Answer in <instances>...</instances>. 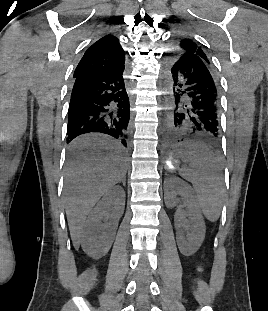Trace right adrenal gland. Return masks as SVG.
Wrapping results in <instances>:
<instances>
[{
  "label": "right adrenal gland",
  "instance_id": "1",
  "mask_svg": "<svg viewBox=\"0 0 268 311\" xmlns=\"http://www.w3.org/2000/svg\"><path fill=\"white\" fill-rule=\"evenodd\" d=\"M121 182H122L123 186H126V179H125V178H123V179L121 180Z\"/></svg>",
  "mask_w": 268,
  "mask_h": 311
}]
</instances>
